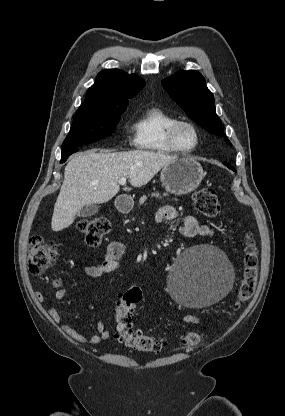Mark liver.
Segmentation results:
<instances>
[{
    "label": "liver",
    "mask_w": 285,
    "mask_h": 416,
    "mask_svg": "<svg viewBox=\"0 0 285 416\" xmlns=\"http://www.w3.org/2000/svg\"><path fill=\"white\" fill-rule=\"evenodd\" d=\"M88 150L68 162L64 182L54 206L51 228L59 232L71 226L83 206L105 204L120 190L119 178H128L131 186H146L163 166L178 156L166 152H101ZM126 190V188H125Z\"/></svg>",
    "instance_id": "liver-1"
}]
</instances>
